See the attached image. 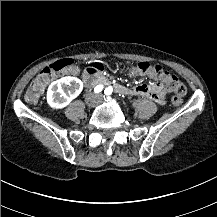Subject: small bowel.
Instances as JSON below:
<instances>
[{
    "label": "small bowel",
    "mask_w": 217,
    "mask_h": 217,
    "mask_svg": "<svg viewBox=\"0 0 217 217\" xmlns=\"http://www.w3.org/2000/svg\"><path fill=\"white\" fill-rule=\"evenodd\" d=\"M75 70L72 72V74ZM69 74L68 72H66ZM134 95L145 96L160 104L165 102L163 91L157 87V84L144 85L140 84L131 88Z\"/></svg>",
    "instance_id": "small-bowel-1"
}]
</instances>
